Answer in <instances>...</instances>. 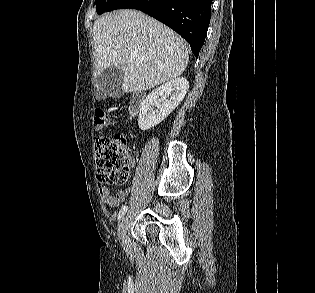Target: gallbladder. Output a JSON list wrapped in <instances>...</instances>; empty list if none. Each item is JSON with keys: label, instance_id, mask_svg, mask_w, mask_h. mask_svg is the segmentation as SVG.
<instances>
[{"label": "gallbladder", "instance_id": "obj_1", "mask_svg": "<svg viewBox=\"0 0 315 293\" xmlns=\"http://www.w3.org/2000/svg\"><path fill=\"white\" fill-rule=\"evenodd\" d=\"M123 71L115 66L108 67L97 77L100 92L104 90L114 98H119L123 94L122 89Z\"/></svg>", "mask_w": 315, "mask_h": 293}]
</instances>
